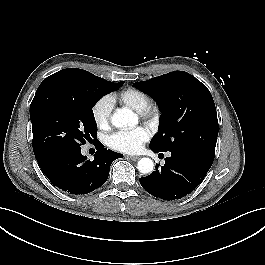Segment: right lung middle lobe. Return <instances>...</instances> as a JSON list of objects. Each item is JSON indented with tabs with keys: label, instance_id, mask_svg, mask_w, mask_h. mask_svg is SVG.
<instances>
[{
	"label": "right lung middle lobe",
	"instance_id": "obj_1",
	"mask_svg": "<svg viewBox=\"0 0 265 265\" xmlns=\"http://www.w3.org/2000/svg\"><path fill=\"white\" fill-rule=\"evenodd\" d=\"M64 80H44L30 105L34 154L76 148L96 138L92 107L104 95L119 89L113 83L80 69Z\"/></svg>",
	"mask_w": 265,
	"mask_h": 265
}]
</instances>
